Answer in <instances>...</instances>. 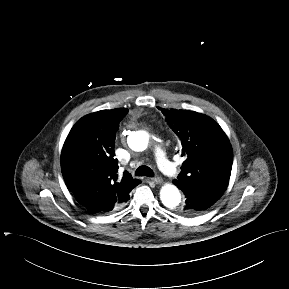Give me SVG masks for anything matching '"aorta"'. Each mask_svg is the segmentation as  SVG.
<instances>
[{"mask_svg":"<svg viewBox=\"0 0 289 289\" xmlns=\"http://www.w3.org/2000/svg\"><path fill=\"white\" fill-rule=\"evenodd\" d=\"M127 141L132 150L144 151L148 146V134L146 132H134ZM160 199L164 206L174 209L181 202V194L175 185L166 184L161 188Z\"/></svg>","mask_w":289,"mask_h":289,"instance_id":"obj_1","label":"aorta"}]
</instances>
